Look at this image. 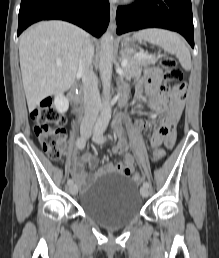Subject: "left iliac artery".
<instances>
[{
  "mask_svg": "<svg viewBox=\"0 0 219 258\" xmlns=\"http://www.w3.org/2000/svg\"><path fill=\"white\" fill-rule=\"evenodd\" d=\"M104 130H105V128L102 126V127H99V128L95 131V135H94V137H93V140H94V142H96L97 144H102V143L105 142L106 137L103 135ZM143 186L149 188L150 185H149V183H148L147 181H144V182H143Z\"/></svg>",
  "mask_w": 219,
  "mask_h": 258,
  "instance_id": "obj_1",
  "label": "left iliac artery"
}]
</instances>
